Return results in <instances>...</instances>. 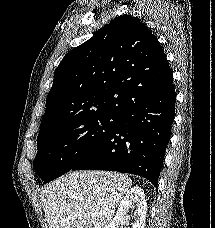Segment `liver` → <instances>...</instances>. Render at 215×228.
I'll return each mask as SVG.
<instances>
[{
    "label": "liver",
    "mask_w": 215,
    "mask_h": 228,
    "mask_svg": "<svg viewBox=\"0 0 215 228\" xmlns=\"http://www.w3.org/2000/svg\"><path fill=\"white\" fill-rule=\"evenodd\" d=\"M132 180L117 172H68L42 188L48 228H110Z\"/></svg>",
    "instance_id": "1"
}]
</instances>
